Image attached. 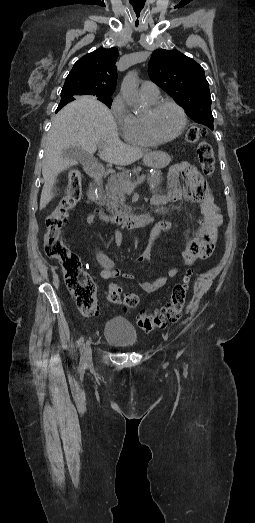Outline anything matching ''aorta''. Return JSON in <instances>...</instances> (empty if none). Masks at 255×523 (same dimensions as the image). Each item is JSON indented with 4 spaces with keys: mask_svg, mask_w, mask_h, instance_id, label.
Here are the masks:
<instances>
[{
    "mask_svg": "<svg viewBox=\"0 0 255 523\" xmlns=\"http://www.w3.org/2000/svg\"><path fill=\"white\" fill-rule=\"evenodd\" d=\"M138 76L136 71L129 72L123 79L121 93L126 103L135 110L141 109V101L137 91Z\"/></svg>",
    "mask_w": 255,
    "mask_h": 523,
    "instance_id": "762f6f07",
    "label": "aorta"
}]
</instances>
